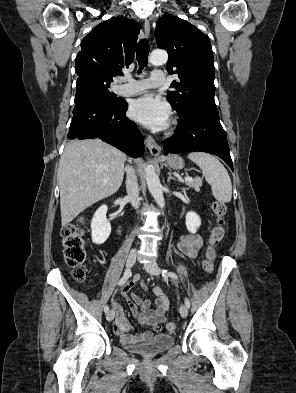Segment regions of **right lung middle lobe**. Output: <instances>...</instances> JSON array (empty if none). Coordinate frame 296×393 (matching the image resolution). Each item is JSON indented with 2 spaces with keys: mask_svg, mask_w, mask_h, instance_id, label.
Returning <instances> with one entry per match:
<instances>
[{
  "mask_svg": "<svg viewBox=\"0 0 296 393\" xmlns=\"http://www.w3.org/2000/svg\"><path fill=\"white\" fill-rule=\"evenodd\" d=\"M88 82H90L97 90L98 92L111 104L113 105H118L121 102L120 98L116 97V94L113 92L109 91L110 87V82H106L103 80H100L95 77H86L85 78Z\"/></svg>",
  "mask_w": 296,
  "mask_h": 393,
  "instance_id": "right-lung-middle-lobe-1",
  "label": "right lung middle lobe"
}]
</instances>
